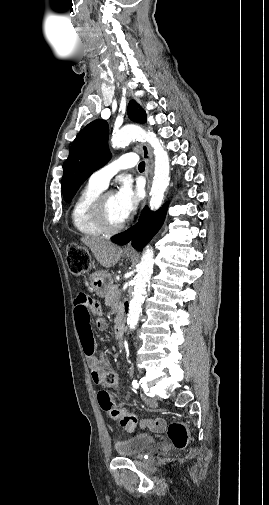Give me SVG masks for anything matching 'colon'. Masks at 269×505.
<instances>
[{"instance_id":"5ec220e1","label":"colon","mask_w":269,"mask_h":505,"mask_svg":"<svg viewBox=\"0 0 269 505\" xmlns=\"http://www.w3.org/2000/svg\"><path fill=\"white\" fill-rule=\"evenodd\" d=\"M67 266L73 275H83L89 271L91 266L90 255L88 251L78 244H71L67 249ZM79 298V297H77ZM86 298H89L88 296ZM100 384L103 389L98 394V400L101 408L109 415L119 420L121 429L132 432L138 424V418L132 413L126 412L118 406L116 397L112 389L118 385V375L115 371H105L101 377ZM168 437L177 449H183L189 441L187 426L182 422H171L167 428Z\"/></svg>"}]
</instances>
